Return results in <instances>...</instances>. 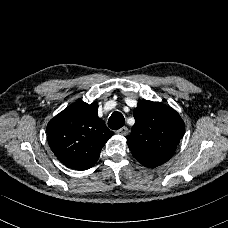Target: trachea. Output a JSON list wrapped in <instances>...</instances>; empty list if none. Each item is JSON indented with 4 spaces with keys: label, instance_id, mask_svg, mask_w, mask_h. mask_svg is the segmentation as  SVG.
Returning a JSON list of instances; mask_svg holds the SVG:
<instances>
[{
    "label": "trachea",
    "instance_id": "3493384b",
    "mask_svg": "<svg viewBox=\"0 0 228 228\" xmlns=\"http://www.w3.org/2000/svg\"><path fill=\"white\" fill-rule=\"evenodd\" d=\"M125 124L124 116L120 112H113L108 120V127L112 130H118Z\"/></svg>",
    "mask_w": 228,
    "mask_h": 228
}]
</instances>
